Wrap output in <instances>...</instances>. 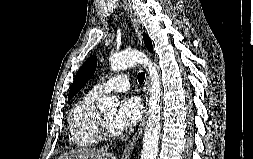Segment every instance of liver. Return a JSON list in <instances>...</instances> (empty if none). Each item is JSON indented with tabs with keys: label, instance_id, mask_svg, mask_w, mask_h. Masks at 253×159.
Segmentation results:
<instances>
[{
	"label": "liver",
	"instance_id": "1",
	"mask_svg": "<svg viewBox=\"0 0 253 159\" xmlns=\"http://www.w3.org/2000/svg\"><path fill=\"white\" fill-rule=\"evenodd\" d=\"M59 159H117L113 154L94 148H78L69 153L61 154Z\"/></svg>",
	"mask_w": 253,
	"mask_h": 159
}]
</instances>
